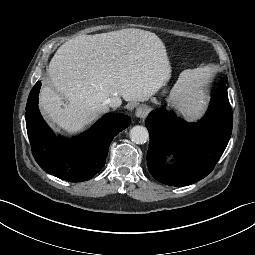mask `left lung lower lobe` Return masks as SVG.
Returning <instances> with one entry per match:
<instances>
[{"mask_svg": "<svg viewBox=\"0 0 255 255\" xmlns=\"http://www.w3.org/2000/svg\"><path fill=\"white\" fill-rule=\"evenodd\" d=\"M226 82L227 77L222 79L207 113L197 123H187L164 109L150 113L146 120L150 133L147 162L156 180L170 186L191 185L213 170L232 132ZM170 154L176 162L165 166V158Z\"/></svg>", "mask_w": 255, "mask_h": 255, "instance_id": "1", "label": "left lung lower lobe"}]
</instances>
